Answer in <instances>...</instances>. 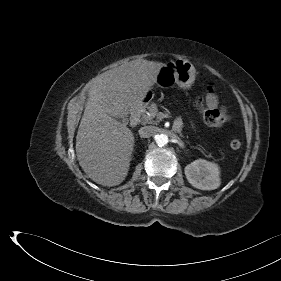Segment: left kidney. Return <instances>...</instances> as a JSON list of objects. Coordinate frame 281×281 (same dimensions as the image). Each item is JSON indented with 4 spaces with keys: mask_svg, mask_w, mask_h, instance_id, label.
Wrapping results in <instances>:
<instances>
[{
    "mask_svg": "<svg viewBox=\"0 0 281 281\" xmlns=\"http://www.w3.org/2000/svg\"><path fill=\"white\" fill-rule=\"evenodd\" d=\"M188 182L201 190H214L221 184L218 164L205 159H198L185 167Z\"/></svg>",
    "mask_w": 281,
    "mask_h": 281,
    "instance_id": "1",
    "label": "left kidney"
}]
</instances>
